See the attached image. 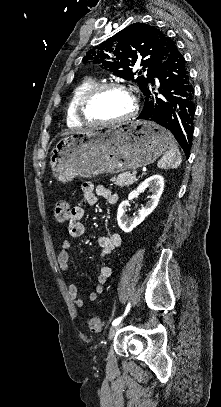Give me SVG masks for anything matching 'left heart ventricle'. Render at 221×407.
Masks as SVG:
<instances>
[{
	"instance_id": "b2bd125f",
	"label": "left heart ventricle",
	"mask_w": 221,
	"mask_h": 407,
	"mask_svg": "<svg viewBox=\"0 0 221 407\" xmlns=\"http://www.w3.org/2000/svg\"><path fill=\"white\" fill-rule=\"evenodd\" d=\"M133 106L131 96L124 90L103 92L90 106L91 114L100 119L113 120L128 114Z\"/></svg>"
}]
</instances>
